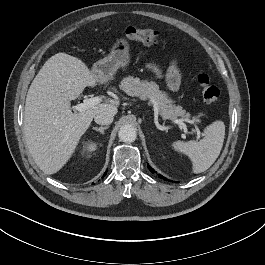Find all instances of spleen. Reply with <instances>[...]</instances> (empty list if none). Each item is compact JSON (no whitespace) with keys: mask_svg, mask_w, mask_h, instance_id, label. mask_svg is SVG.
Returning <instances> with one entry per match:
<instances>
[{"mask_svg":"<svg viewBox=\"0 0 265 265\" xmlns=\"http://www.w3.org/2000/svg\"><path fill=\"white\" fill-rule=\"evenodd\" d=\"M225 137V125L215 121L205 129V137L200 141H175V150L189 156L193 164V172L201 173L207 170L218 158Z\"/></svg>","mask_w":265,"mask_h":265,"instance_id":"spleen-1","label":"spleen"}]
</instances>
